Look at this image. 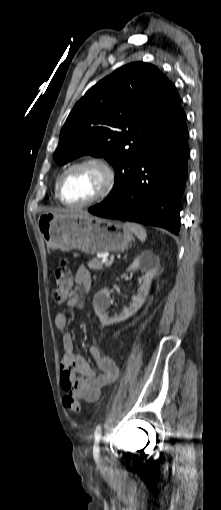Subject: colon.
<instances>
[{
    "instance_id": "5ec220e1",
    "label": "colon",
    "mask_w": 221,
    "mask_h": 510,
    "mask_svg": "<svg viewBox=\"0 0 221 510\" xmlns=\"http://www.w3.org/2000/svg\"><path fill=\"white\" fill-rule=\"evenodd\" d=\"M54 275V300L56 303L60 304L69 299L73 294V277L68 262L61 261L55 268ZM63 404L70 412L80 414L82 406L76 398L66 395L63 398Z\"/></svg>"
}]
</instances>
